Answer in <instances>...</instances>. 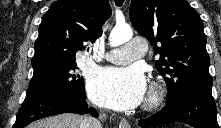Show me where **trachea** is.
Listing matches in <instances>:
<instances>
[{"label": "trachea", "instance_id": "trachea-1", "mask_svg": "<svg viewBox=\"0 0 221 128\" xmlns=\"http://www.w3.org/2000/svg\"><path fill=\"white\" fill-rule=\"evenodd\" d=\"M115 1V4L116 6H122V4L124 3V0H114Z\"/></svg>", "mask_w": 221, "mask_h": 128}]
</instances>
